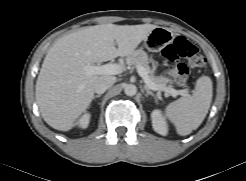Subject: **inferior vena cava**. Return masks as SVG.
I'll list each match as a JSON object with an SVG mask.
<instances>
[{"label":"inferior vena cava","mask_w":246,"mask_h":181,"mask_svg":"<svg viewBox=\"0 0 246 181\" xmlns=\"http://www.w3.org/2000/svg\"><path fill=\"white\" fill-rule=\"evenodd\" d=\"M116 82V78L114 76H102L98 79L95 84L94 91L97 94H103L106 90H108L114 83Z\"/></svg>","instance_id":"inferior-vena-cava-1"}]
</instances>
